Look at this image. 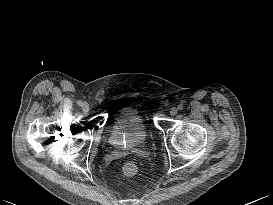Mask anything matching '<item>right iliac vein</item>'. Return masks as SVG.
Instances as JSON below:
<instances>
[{
    "label": "right iliac vein",
    "mask_w": 273,
    "mask_h": 205,
    "mask_svg": "<svg viewBox=\"0 0 273 205\" xmlns=\"http://www.w3.org/2000/svg\"><path fill=\"white\" fill-rule=\"evenodd\" d=\"M82 110L83 111H88L89 110V105L87 103L82 104Z\"/></svg>",
    "instance_id": "63e3f726"
}]
</instances>
